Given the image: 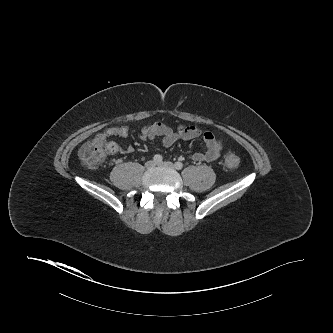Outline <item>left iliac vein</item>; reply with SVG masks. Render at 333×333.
<instances>
[{
	"mask_svg": "<svg viewBox=\"0 0 333 333\" xmlns=\"http://www.w3.org/2000/svg\"><path fill=\"white\" fill-rule=\"evenodd\" d=\"M158 166H161V167H167V168H170V169H174L175 168V165L171 162H161V163H158L157 164Z\"/></svg>",
	"mask_w": 333,
	"mask_h": 333,
	"instance_id": "4c4485c4",
	"label": "left iliac vein"
}]
</instances>
